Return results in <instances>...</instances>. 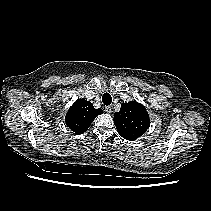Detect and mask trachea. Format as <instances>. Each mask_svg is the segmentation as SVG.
<instances>
[{
    "instance_id": "trachea-1",
    "label": "trachea",
    "mask_w": 211,
    "mask_h": 211,
    "mask_svg": "<svg viewBox=\"0 0 211 211\" xmlns=\"http://www.w3.org/2000/svg\"><path fill=\"white\" fill-rule=\"evenodd\" d=\"M102 102L104 103V105L108 106L111 104L112 102V97L109 93H104L102 96Z\"/></svg>"
}]
</instances>
